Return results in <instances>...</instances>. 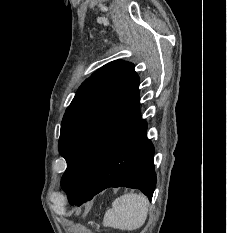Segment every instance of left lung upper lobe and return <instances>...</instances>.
<instances>
[{
	"label": "left lung upper lobe",
	"instance_id": "1",
	"mask_svg": "<svg viewBox=\"0 0 227 233\" xmlns=\"http://www.w3.org/2000/svg\"><path fill=\"white\" fill-rule=\"evenodd\" d=\"M138 87L134 65L122 60L104 65L79 87L59 138L67 162L61 186L69 202L95 189L112 152L140 120Z\"/></svg>",
	"mask_w": 227,
	"mask_h": 233
}]
</instances>
